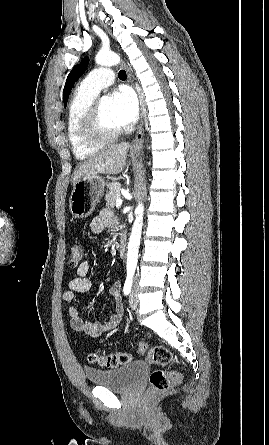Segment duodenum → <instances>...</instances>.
Returning a JSON list of instances; mask_svg holds the SVG:
<instances>
[{"label": "duodenum", "instance_id": "duodenum-1", "mask_svg": "<svg viewBox=\"0 0 269 445\" xmlns=\"http://www.w3.org/2000/svg\"><path fill=\"white\" fill-rule=\"evenodd\" d=\"M126 250H127V243H126V239L124 236L121 237L120 242H119V255L121 257H125L126 256Z\"/></svg>", "mask_w": 269, "mask_h": 445}]
</instances>
